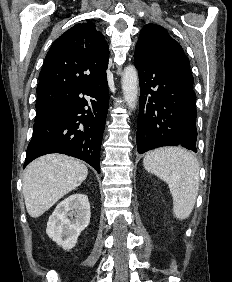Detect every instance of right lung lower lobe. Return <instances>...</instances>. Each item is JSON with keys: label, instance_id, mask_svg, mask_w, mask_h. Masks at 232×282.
Masks as SVG:
<instances>
[{"label": "right lung lower lobe", "instance_id": "obj_1", "mask_svg": "<svg viewBox=\"0 0 232 282\" xmlns=\"http://www.w3.org/2000/svg\"><path fill=\"white\" fill-rule=\"evenodd\" d=\"M80 93L91 99L80 98ZM108 103L106 76L69 93L49 114L35 120L24 167L39 156L62 153L87 162L100 173Z\"/></svg>", "mask_w": 232, "mask_h": 282}]
</instances>
